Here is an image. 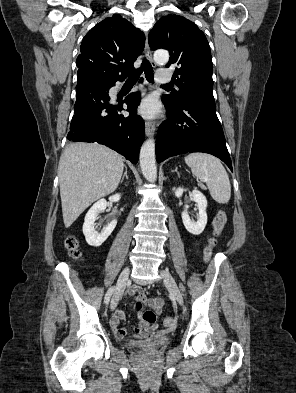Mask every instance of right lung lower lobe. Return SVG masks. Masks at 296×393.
<instances>
[{"label": "right lung lower lobe", "instance_id": "obj_1", "mask_svg": "<svg viewBox=\"0 0 296 393\" xmlns=\"http://www.w3.org/2000/svg\"><path fill=\"white\" fill-rule=\"evenodd\" d=\"M74 116L67 138L74 142H98L137 163L144 140V121L136 114L140 94L134 92L118 104L110 103L111 84L105 87L89 72H78ZM127 105L130 115L119 111Z\"/></svg>", "mask_w": 296, "mask_h": 393}]
</instances>
